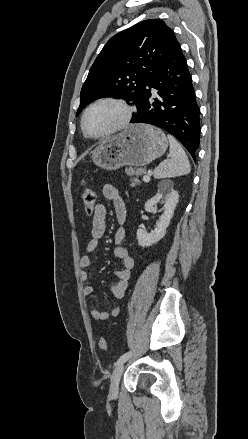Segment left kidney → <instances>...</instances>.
<instances>
[{"label": "left kidney", "mask_w": 248, "mask_h": 439, "mask_svg": "<svg viewBox=\"0 0 248 439\" xmlns=\"http://www.w3.org/2000/svg\"><path fill=\"white\" fill-rule=\"evenodd\" d=\"M178 199V192L173 190L171 186L164 184L159 185L156 195L147 200L144 208L147 212H157L156 205L158 203H162L164 204L162 208L163 213L159 216V221L157 222L156 227L150 233L141 228L137 230V240L139 246L149 247L157 243L165 236L166 229L173 217Z\"/></svg>", "instance_id": "5707ae66"}]
</instances>
